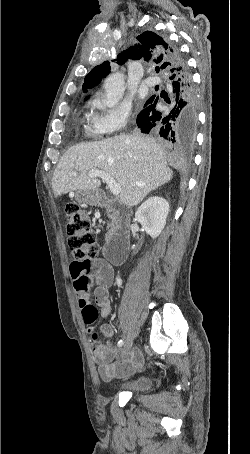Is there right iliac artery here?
I'll list each match as a JSON object with an SVG mask.
<instances>
[{
	"label": "right iliac artery",
	"instance_id": "right-iliac-artery-1",
	"mask_svg": "<svg viewBox=\"0 0 250 454\" xmlns=\"http://www.w3.org/2000/svg\"><path fill=\"white\" fill-rule=\"evenodd\" d=\"M124 344V341L121 339L118 341V347H121Z\"/></svg>",
	"mask_w": 250,
	"mask_h": 454
}]
</instances>
